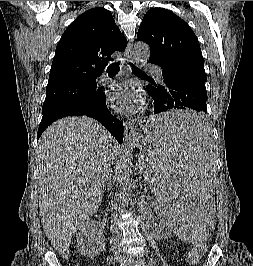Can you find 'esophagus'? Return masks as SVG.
I'll return each instance as SVG.
<instances>
[{"instance_id":"esophagus-1","label":"esophagus","mask_w":253,"mask_h":266,"mask_svg":"<svg viewBox=\"0 0 253 266\" xmlns=\"http://www.w3.org/2000/svg\"><path fill=\"white\" fill-rule=\"evenodd\" d=\"M126 54L128 57L129 62H134V55L132 50V43L129 42L126 48ZM136 128L134 126V123L131 121H125L124 122V138L125 141H131L136 136Z\"/></svg>"}]
</instances>
